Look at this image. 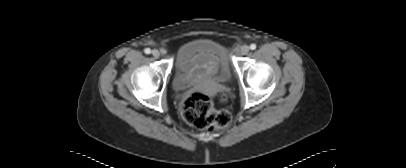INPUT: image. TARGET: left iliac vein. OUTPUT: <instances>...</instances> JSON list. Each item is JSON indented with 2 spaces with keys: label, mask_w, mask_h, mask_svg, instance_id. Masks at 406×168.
I'll return each instance as SVG.
<instances>
[{
  "label": "left iliac vein",
  "mask_w": 406,
  "mask_h": 168,
  "mask_svg": "<svg viewBox=\"0 0 406 168\" xmlns=\"http://www.w3.org/2000/svg\"><path fill=\"white\" fill-rule=\"evenodd\" d=\"M249 50H250L249 46L243 45V46L241 47V49H240V53H241L242 55H246V54H248Z\"/></svg>",
  "instance_id": "left-iliac-vein-1"
}]
</instances>
